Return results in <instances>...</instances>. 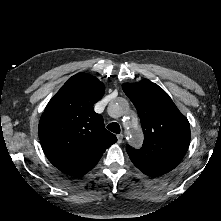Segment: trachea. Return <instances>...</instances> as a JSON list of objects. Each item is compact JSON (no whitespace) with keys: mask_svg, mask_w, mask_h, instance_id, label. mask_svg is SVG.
<instances>
[{"mask_svg":"<svg viewBox=\"0 0 221 221\" xmlns=\"http://www.w3.org/2000/svg\"><path fill=\"white\" fill-rule=\"evenodd\" d=\"M107 129L110 130V131L113 132V133H116V134H119V133H120V126H119V124L116 123V122L110 123V124L107 126Z\"/></svg>","mask_w":221,"mask_h":221,"instance_id":"3493384b","label":"trachea"}]
</instances>
